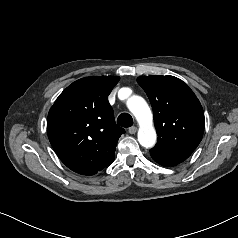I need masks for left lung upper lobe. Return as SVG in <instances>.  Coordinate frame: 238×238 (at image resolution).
Returning a JSON list of instances; mask_svg holds the SVG:
<instances>
[{"label": "left lung upper lobe", "mask_w": 238, "mask_h": 238, "mask_svg": "<svg viewBox=\"0 0 238 238\" xmlns=\"http://www.w3.org/2000/svg\"><path fill=\"white\" fill-rule=\"evenodd\" d=\"M137 82L153 108L158 135L154 148L189 157L204 132V112L193 91L182 80L170 75L140 76Z\"/></svg>", "instance_id": "obj_1"}]
</instances>
